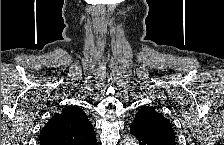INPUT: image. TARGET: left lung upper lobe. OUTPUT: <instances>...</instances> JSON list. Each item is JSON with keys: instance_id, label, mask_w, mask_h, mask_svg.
Masks as SVG:
<instances>
[{"instance_id": "1", "label": "left lung upper lobe", "mask_w": 224, "mask_h": 145, "mask_svg": "<svg viewBox=\"0 0 224 145\" xmlns=\"http://www.w3.org/2000/svg\"><path fill=\"white\" fill-rule=\"evenodd\" d=\"M136 116L144 119L148 133L153 135L163 145H175V134L170 121L153 107H143Z\"/></svg>"}]
</instances>
